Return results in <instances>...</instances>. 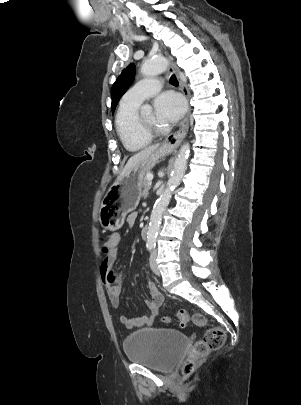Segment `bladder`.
Returning a JSON list of instances; mask_svg holds the SVG:
<instances>
[{"label": "bladder", "mask_w": 301, "mask_h": 405, "mask_svg": "<svg viewBox=\"0 0 301 405\" xmlns=\"http://www.w3.org/2000/svg\"><path fill=\"white\" fill-rule=\"evenodd\" d=\"M187 346L184 334L173 329L147 328L129 334L124 340L127 359L159 372L174 368Z\"/></svg>", "instance_id": "1"}]
</instances>
